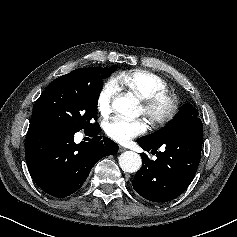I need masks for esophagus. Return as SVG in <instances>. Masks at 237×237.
<instances>
[{
	"mask_svg": "<svg viewBox=\"0 0 237 237\" xmlns=\"http://www.w3.org/2000/svg\"><path fill=\"white\" fill-rule=\"evenodd\" d=\"M125 150H126V148L124 146L119 145V152H123Z\"/></svg>",
	"mask_w": 237,
	"mask_h": 237,
	"instance_id": "esophagus-1",
	"label": "esophagus"
}]
</instances>
